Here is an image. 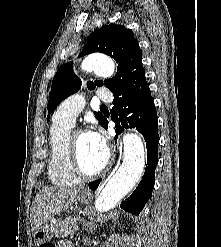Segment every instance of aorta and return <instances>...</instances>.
<instances>
[{"label":"aorta","instance_id":"obj_1","mask_svg":"<svg viewBox=\"0 0 221 247\" xmlns=\"http://www.w3.org/2000/svg\"><path fill=\"white\" fill-rule=\"evenodd\" d=\"M82 68L91 69L101 77H110L114 73L115 64L105 55L94 54L83 61ZM144 165L145 150L142 139L136 133H125L122 163L98 196L96 209L101 212L114 208L139 181Z\"/></svg>","mask_w":221,"mask_h":247}]
</instances>
